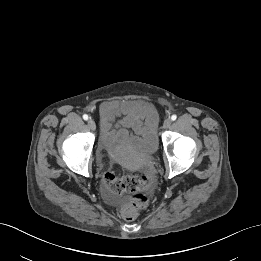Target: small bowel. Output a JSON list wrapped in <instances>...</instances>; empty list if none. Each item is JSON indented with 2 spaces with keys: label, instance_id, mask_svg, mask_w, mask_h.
Masks as SVG:
<instances>
[{
  "label": "small bowel",
  "instance_id": "small-bowel-1",
  "mask_svg": "<svg viewBox=\"0 0 261 261\" xmlns=\"http://www.w3.org/2000/svg\"><path fill=\"white\" fill-rule=\"evenodd\" d=\"M99 115L102 133L105 137L124 131L123 128L152 133L158 123L155 109L144 101H104L99 107ZM117 118L120 120L115 123Z\"/></svg>",
  "mask_w": 261,
  "mask_h": 261
}]
</instances>
